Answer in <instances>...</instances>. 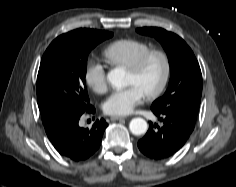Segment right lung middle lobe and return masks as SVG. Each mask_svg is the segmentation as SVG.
Masks as SVG:
<instances>
[{"label":"right lung middle lobe","instance_id":"obj_1","mask_svg":"<svg viewBox=\"0 0 236 187\" xmlns=\"http://www.w3.org/2000/svg\"><path fill=\"white\" fill-rule=\"evenodd\" d=\"M112 35L99 30L69 32L49 45L37 76V101L46 132L89 109L85 84L88 54Z\"/></svg>","mask_w":236,"mask_h":187}]
</instances>
